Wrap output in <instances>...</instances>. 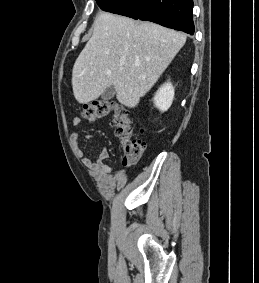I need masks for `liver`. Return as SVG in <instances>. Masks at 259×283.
Masks as SVG:
<instances>
[{
  "label": "liver",
  "instance_id": "obj_1",
  "mask_svg": "<svg viewBox=\"0 0 259 283\" xmlns=\"http://www.w3.org/2000/svg\"><path fill=\"white\" fill-rule=\"evenodd\" d=\"M185 42V34L161 25L99 13L73 66L76 100L89 103L113 86L121 104L136 107Z\"/></svg>",
  "mask_w": 259,
  "mask_h": 283
}]
</instances>
